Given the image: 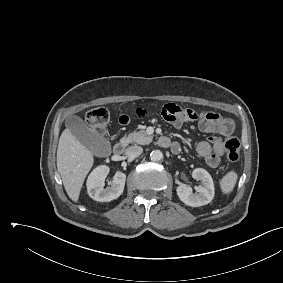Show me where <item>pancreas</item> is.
I'll use <instances>...</instances> for the list:
<instances>
[{
  "label": "pancreas",
  "mask_w": 283,
  "mask_h": 283,
  "mask_svg": "<svg viewBox=\"0 0 283 283\" xmlns=\"http://www.w3.org/2000/svg\"><path fill=\"white\" fill-rule=\"evenodd\" d=\"M153 139V136L148 135L144 130L130 133L128 136H124L120 142L123 145H128L129 143H136L139 145L149 144Z\"/></svg>",
  "instance_id": "obj_1"
}]
</instances>
